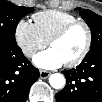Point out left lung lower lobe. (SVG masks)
Listing matches in <instances>:
<instances>
[{
    "label": "left lung lower lobe",
    "mask_w": 102,
    "mask_h": 102,
    "mask_svg": "<svg viewBox=\"0 0 102 102\" xmlns=\"http://www.w3.org/2000/svg\"><path fill=\"white\" fill-rule=\"evenodd\" d=\"M66 86L55 95L58 102L102 101V48L87 53L76 69L64 71Z\"/></svg>",
    "instance_id": "left-lung-lower-lobe-1"
}]
</instances>
